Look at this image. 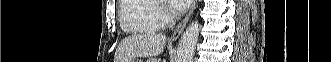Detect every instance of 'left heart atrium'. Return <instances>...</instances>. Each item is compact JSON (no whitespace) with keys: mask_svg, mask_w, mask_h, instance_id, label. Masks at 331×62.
Returning a JSON list of instances; mask_svg holds the SVG:
<instances>
[{"mask_svg":"<svg viewBox=\"0 0 331 62\" xmlns=\"http://www.w3.org/2000/svg\"><path fill=\"white\" fill-rule=\"evenodd\" d=\"M191 0H168L169 8L173 13H183L190 5Z\"/></svg>","mask_w":331,"mask_h":62,"instance_id":"obj_1","label":"left heart atrium"}]
</instances>
